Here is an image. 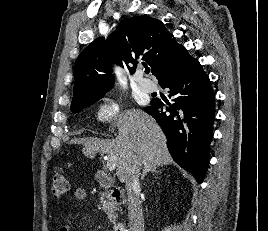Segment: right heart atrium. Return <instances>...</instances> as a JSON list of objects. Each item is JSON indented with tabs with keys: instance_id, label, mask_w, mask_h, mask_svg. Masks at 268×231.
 <instances>
[{
	"instance_id": "right-heart-atrium-1",
	"label": "right heart atrium",
	"mask_w": 268,
	"mask_h": 231,
	"mask_svg": "<svg viewBox=\"0 0 268 231\" xmlns=\"http://www.w3.org/2000/svg\"><path fill=\"white\" fill-rule=\"evenodd\" d=\"M119 112L117 101L112 99L102 100L97 108L96 114L102 123H109Z\"/></svg>"
}]
</instances>
